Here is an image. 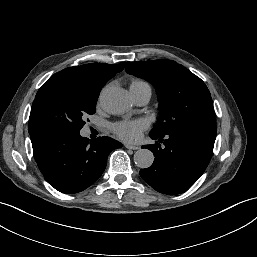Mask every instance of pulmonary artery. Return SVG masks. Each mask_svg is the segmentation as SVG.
<instances>
[{"instance_id": "obj_1", "label": "pulmonary artery", "mask_w": 257, "mask_h": 257, "mask_svg": "<svg viewBox=\"0 0 257 257\" xmlns=\"http://www.w3.org/2000/svg\"><path fill=\"white\" fill-rule=\"evenodd\" d=\"M131 96L133 101L137 104V105H145L146 103H148L150 97H151V89L150 88H145L139 91H130Z\"/></svg>"}]
</instances>
